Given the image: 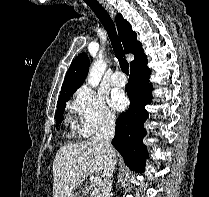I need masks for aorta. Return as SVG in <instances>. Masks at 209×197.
I'll use <instances>...</instances> for the list:
<instances>
[{
  "mask_svg": "<svg viewBox=\"0 0 209 197\" xmlns=\"http://www.w3.org/2000/svg\"><path fill=\"white\" fill-rule=\"evenodd\" d=\"M105 69H106V62L102 59V57H99L97 60L93 62L89 70V75L87 78L88 84L91 85L92 87H97L101 81Z\"/></svg>",
  "mask_w": 209,
  "mask_h": 197,
  "instance_id": "762f6f07",
  "label": "aorta"
}]
</instances>
